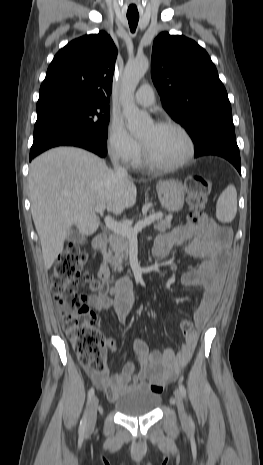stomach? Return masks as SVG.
I'll list each match as a JSON object with an SVG mask.
<instances>
[{
    "label": "stomach",
    "instance_id": "obj_1",
    "mask_svg": "<svg viewBox=\"0 0 263 465\" xmlns=\"http://www.w3.org/2000/svg\"><path fill=\"white\" fill-rule=\"evenodd\" d=\"M161 205L170 212H178L184 205V189L176 180L161 181L156 186Z\"/></svg>",
    "mask_w": 263,
    "mask_h": 465
}]
</instances>
